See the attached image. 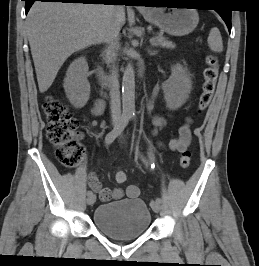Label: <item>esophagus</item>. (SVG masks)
<instances>
[{
  "label": "esophagus",
  "mask_w": 259,
  "mask_h": 266,
  "mask_svg": "<svg viewBox=\"0 0 259 266\" xmlns=\"http://www.w3.org/2000/svg\"><path fill=\"white\" fill-rule=\"evenodd\" d=\"M138 9H144V8H142V7H139Z\"/></svg>",
  "instance_id": "1"
}]
</instances>
